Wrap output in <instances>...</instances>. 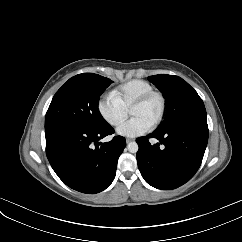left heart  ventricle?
<instances>
[{
	"label": "left heart ventricle",
	"mask_w": 242,
	"mask_h": 242,
	"mask_svg": "<svg viewBox=\"0 0 242 242\" xmlns=\"http://www.w3.org/2000/svg\"><path fill=\"white\" fill-rule=\"evenodd\" d=\"M160 112V101L157 97L152 98L142 106L134 108L130 114L132 117H138L152 125Z\"/></svg>",
	"instance_id": "1"
}]
</instances>
